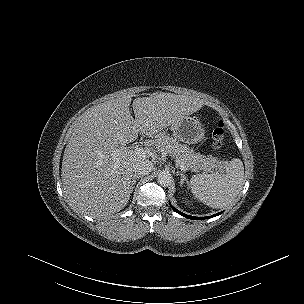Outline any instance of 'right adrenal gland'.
Returning <instances> with one entry per match:
<instances>
[{
  "instance_id": "2a0ac1e0",
  "label": "right adrenal gland",
  "mask_w": 304,
  "mask_h": 304,
  "mask_svg": "<svg viewBox=\"0 0 304 304\" xmlns=\"http://www.w3.org/2000/svg\"><path fill=\"white\" fill-rule=\"evenodd\" d=\"M139 178V176L134 175L133 179H132V184H131V191H133L135 185H136V181Z\"/></svg>"
}]
</instances>
